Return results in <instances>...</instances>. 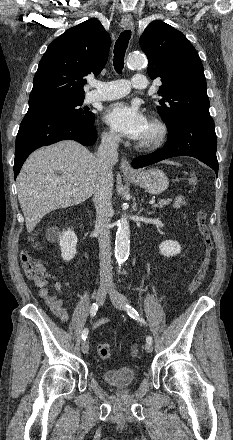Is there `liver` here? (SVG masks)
Segmentation results:
<instances>
[{
	"mask_svg": "<svg viewBox=\"0 0 233 440\" xmlns=\"http://www.w3.org/2000/svg\"><path fill=\"white\" fill-rule=\"evenodd\" d=\"M99 176L97 157L76 141L65 140L34 151L17 177L27 231L31 233L51 211L89 199Z\"/></svg>",
	"mask_w": 233,
	"mask_h": 440,
	"instance_id": "1",
	"label": "liver"
}]
</instances>
